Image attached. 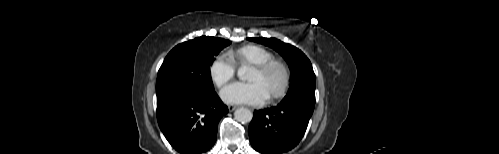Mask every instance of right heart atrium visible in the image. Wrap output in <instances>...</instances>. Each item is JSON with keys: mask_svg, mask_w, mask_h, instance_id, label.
I'll return each mask as SVG.
<instances>
[{"mask_svg": "<svg viewBox=\"0 0 499 154\" xmlns=\"http://www.w3.org/2000/svg\"><path fill=\"white\" fill-rule=\"evenodd\" d=\"M236 73L235 64L225 55L217 56L209 66V76L217 87H223Z\"/></svg>", "mask_w": 499, "mask_h": 154, "instance_id": "obj_1", "label": "right heart atrium"}]
</instances>
